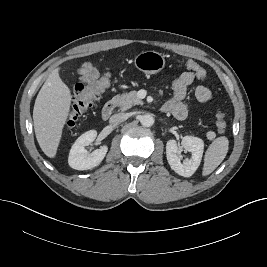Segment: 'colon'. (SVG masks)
Instances as JSON below:
<instances>
[{"label": "colon", "mask_w": 267, "mask_h": 267, "mask_svg": "<svg viewBox=\"0 0 267 267\" xmlns=\"http://www.w3.org/2000/svg\"><path fill=\"white\" fill-rule=\"evenodd\" d=\"M186 67L195 73L199 79H206V71L194 60H188ZM111 76L105 74L91 83L80 82L76 85L72 103L66 124L68 127H73L80 117L87 112L100 97V95L109 87ZM227 123L223 112L219 111L216 114V127L219 132H224Z\"/></svg>", "instance_id": "colon-1"}]
</instances>
